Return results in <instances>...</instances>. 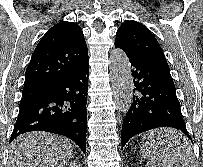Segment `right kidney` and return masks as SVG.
Here are the masks:
<instances>
[{
    "mask_svg": "<svg viewBox=\"0 0 203 167\" xmlns=\"http://www.w3.org/2000/svg\"><path fill=\"white\" fill-rule=\"evenodd\" d=\"M65 167H82L81 166V163L78 162V161H73V162H70L67 166Z\"/></svg>",
    "mask_w": 203,
    "mask_h": 167,
    "instance_id": "obj_1",
    "label": "right kidney"
}]
</instances>
